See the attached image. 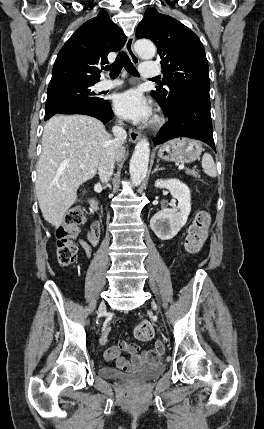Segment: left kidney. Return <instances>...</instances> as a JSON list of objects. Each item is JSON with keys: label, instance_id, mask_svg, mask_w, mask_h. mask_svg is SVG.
<instances>
[{"label": "left kidney", "instance_id": "left-kidney-1", "mask_svg": "<svg viewBox=\"0 0 264 429\" xmlns=\"http://www.w3.org/2000/svg\"><path fill=\"white\" fill-rule=\"evenodd\" d=\"M156 188H166L178 200V207L163 209L150 220V227L161 240H170L186 224L191 211V194L189 187L178 179H158Z\"/></svg>", "mask_w": 264, "mask_h": 429}]
</instances>
